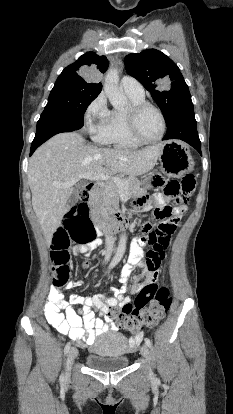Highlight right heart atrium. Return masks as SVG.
I'll list each match as a JSON object with an SVG mask.
<instances>
[{
    "label": "right heart atrium",
    "instance_id": "d8ad5b80",
    "mask_svg": "<svg viewBox=\"0 0 233 414\" xmlns=\"http://www.w3.org/2000/svg\"><path fill=\"white\" fill-rule=\"evenodd\" d=\"M110 115L104 94H99L86 108L84 122L92 137L104 143L106 140V124Z\"/></svg>",
    "mask_w": 233,
    "mask_h": 414
}]
</instances>
